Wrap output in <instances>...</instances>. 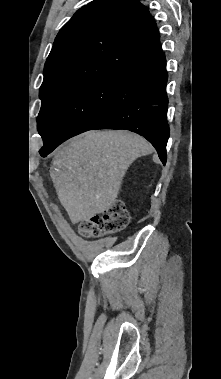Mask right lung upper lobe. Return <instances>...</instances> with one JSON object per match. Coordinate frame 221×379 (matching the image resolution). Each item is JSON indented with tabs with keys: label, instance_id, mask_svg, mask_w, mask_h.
Listing matches in <instances>:
<instances>
[{
	"label": "right lung upper lobe",
	"instance_id": "cb5924a9",
	"mask_svg": "<svg viewBox=\"0 0 221 379\" xmlns=\"http://www.w3.org/2000/svg\"><path fill=\"white\" fill-rule=\"evenodd\" d=\"M162 53L155 20L139 0H94L59 31L39 96L102 75L121 76Z\"/></svg>",
	"mask_w": 221,
	"mask_h": 379
}]
</instances>
